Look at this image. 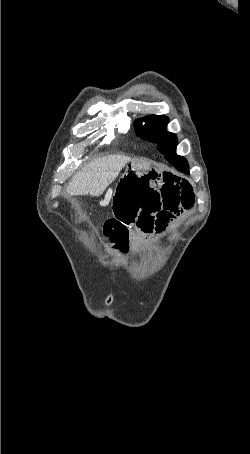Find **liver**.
<instances>
[{
	"instance_id": "obj_1",
	"label": "liver",
	"mask_w": 250,
	"mask_h": 454,
	"mask_svg": "<svg viewBox=\"0 0 250 454\" xmlns=\"http://www.w3.org/2000/svg\"><path fill=\"white\" fill-rule=\"evenodd\" d=\"M125 155L99 157L77 172L67 187V194L100 196L129 162Z\"/></svg>"
}]
</instances>
